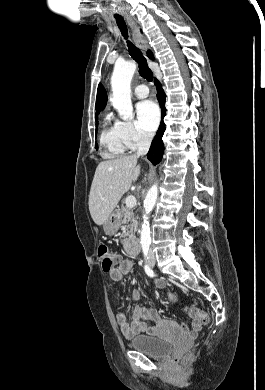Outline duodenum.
Wrapping results in <instances>:
<instances>
[{
  "mask_svg": "<svg viewBox=\"0 0 265 390\" xmlns=\"http://www.w3.org/2000/svg\"><path fill=\"white\" fill-rule=\"evenodd\" d=\"M127 251L131 255H139L140 254L141 246L135 238H132L127 242Z\"/></svg>",
  "mask_w": 265,
  "mask_h": 390,
  "instance_id": "duodenum-1",
  "label": "duodenum"
}]
</instances>
